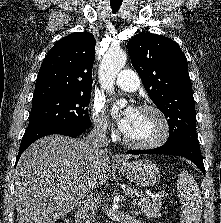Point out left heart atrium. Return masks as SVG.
I'll use <instances>...</instances> for the list:
<instances>
[{"label":"left heart atrium","instance_id":"39dd6f15","mask_svg":"<svg viewBox=\"0 0 221 223\" xmlns=\"http://www.w3.org/2000/svg\"><path fill=\"white\" fill-rule=\"evenodd\" d=\"M136 113H137V110L135 108L128 107L124 111L122 116L118 119V126L123 133L129 129L134 117L136 116Z\"/></svg>","mask_w":221,"mask_h":223}]
</instances>
